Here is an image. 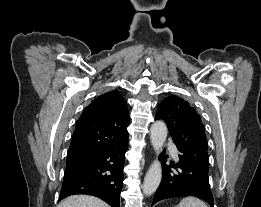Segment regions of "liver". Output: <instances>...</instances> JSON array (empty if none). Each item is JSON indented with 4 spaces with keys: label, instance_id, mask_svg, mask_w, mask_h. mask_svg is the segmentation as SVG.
I'll list each match as a JSON object with an SVG mask.
<instances>
[{
    "label": "liver",
    "instance_id": "obj_1",
    "mask_svg": "<svg viewBox=\"0 0 261 207\" xmlns=\"http://www.w3.org/2000/svg\"><path fill=\"white\" fill-rule=\"evenodd\" d=\"M58 207H110L104 201L89 195H73L64 199Z\"/></svg>",
    "mask_w": 261,
    "mask_h": 207
}]
</instances>
